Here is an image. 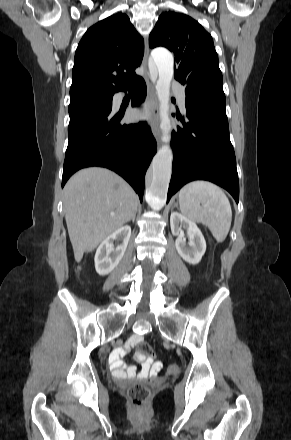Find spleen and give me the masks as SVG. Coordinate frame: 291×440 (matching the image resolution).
Masks as SVG:
<instances>
[{"label": "spleen", "mask_w": 291, "mask_h": 440, "mask_svg": "<svg viewBox=\"0 0 291 440\" xmlns=\"http://www.w3.org/2000/svg\"><path fill=\"white\" fill-rule=\"evenodd\" d=\"M179 205L185 217L207 226L217 242L226 239L232 211L220 187L203 180L190 182L179 192Z\"/></svg>", "instance_id": "obj_1"}]
</instances>
